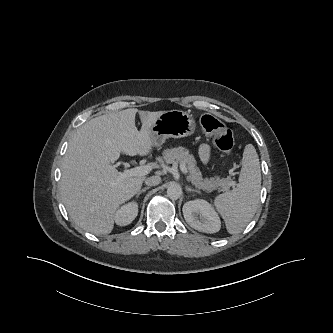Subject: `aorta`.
<instances>
[{
    "label": "aorta",
    "instance_id": "1",
    "mask_svg": "<svg viewBox=\"0 0 333 333\" xmlns=\"http://www.w3.org/2000/svg\"><path fill=\"white\" fill-rule=\"evenodd\" d=\"M182 194V189L179 185L173 184L167 188V195L172 200H177Z\"/></svg>",
    "mask_w": 333,
    "mask_h": 333
}]
</instances>
